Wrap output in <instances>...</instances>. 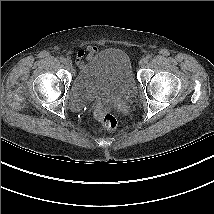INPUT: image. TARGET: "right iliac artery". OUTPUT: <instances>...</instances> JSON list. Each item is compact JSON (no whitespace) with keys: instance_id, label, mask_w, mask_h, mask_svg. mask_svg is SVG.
I'll use <instances>...</instances> for the list:
<instances>
[{"instance_id":"1","label":"right iliac artery","mask_w":214,"mask_h":214,"mask_svg":"<svg viewBox=\"0 0 214 214\" xmlns=\"http://www.w3.org/2000/svg\"><path fill=\"white\" fill-rule=\"evenodd\" d=\"M60 61L64 63L66 59L64 57H60Z\"/></svg>"}]
</instances>
